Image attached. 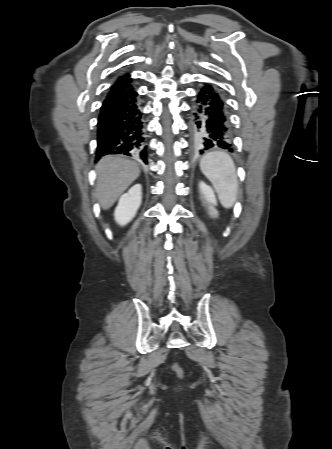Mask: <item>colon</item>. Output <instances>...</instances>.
<instances>
[{
	"instance_id": "5ec220e1",
	"label": "colon",
	"mask_w": 332,
	"mask_h": 449,
	"mask_svg": "<svg viewBox=\"0 0 332 449\" xmlns=\"http://www.w3.org/2000/svg\"><path fill=\"white\" fill-rule=\"evenodd\" d=\"M173 370L178 374H181V372H182L181 368L177 364L173 365Z\"/></svg>"
}]
</instances>
